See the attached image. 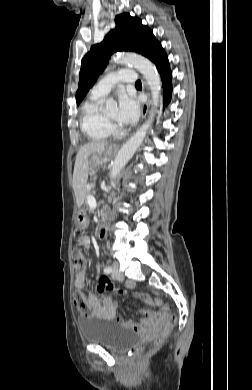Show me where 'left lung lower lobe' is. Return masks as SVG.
<instances>
[{
	"label": "left lung lower lobe",
	"mask_w": 252,
	"mask_h": 390,
	"mask_svg": "<svg viewBox=\"0 0 252 390\" xmlns=\"http://www.w3.org/2000/svg\"><path fill=\"white\" fill-rule=\"evenodd\" d=\"M147 58L156 65L161 75L164 90V106H166L169 103L172 94V75L169 67L168 57L159 42H157L152 47Z\"/></svg>",
	"instance_id": "left-lung-lower-lobe-1"
}]
</instances>
